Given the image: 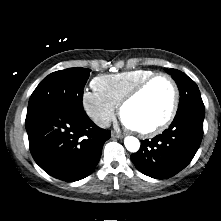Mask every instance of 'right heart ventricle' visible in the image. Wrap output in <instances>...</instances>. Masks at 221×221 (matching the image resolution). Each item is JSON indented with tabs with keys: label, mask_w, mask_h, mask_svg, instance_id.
<instances>
[{
	"label": "right heart ventricle",
	"mask_w": 221,
	"mask_h": 221,
	"mask_svg": "<svg viewBox=\"0 0 221 221\" xmlns=\"http://www.w3.org/2000/svg\"><path fill=\"white\" fill-rule=\"evenodd\" d=\"M153 74L154 72L151 70L135 69L116 74L101 75L93 79L92 87L117 106L128 92Z\"/></svg>",
	"instance_id": "e07e8e85"
}]
</instances>
